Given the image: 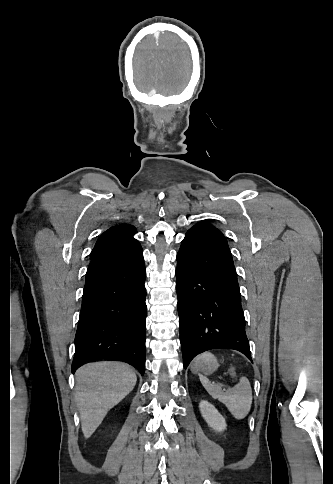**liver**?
I'll use <instances>...</instances> for the list:
<instances>
[{"label":"liver","mask_w":333,"mask_h":484,"mask_svg":"<svg viewBox=\"0 0 333 484\" xmlns=\"http://www.w3.org/2000/svg\"><path fill=\"white\" fill-rule=\"evenodd\" d=\"M75 376V400L84 437L89 438L108 411L133 390L137 378L128 365L106 361L88 363Z\"/></svg>","instance_id":"obj_1"}]
</instances>
